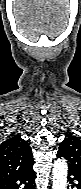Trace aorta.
<instances>
[{"instance_id":"aorta-1","label":"aorta","mask_w":81,"mask_h":189,"mask_svg":"<svg viewBox=\"0 0 81 189\" xmlns=\"http://www.w3.org/2000/svg\"><path fill=\"white\" fill-rule=\"evenodd\" d=\"M68 166L64 159H58L53 166V189H67Z\"/></svg>"}]
</instances>
